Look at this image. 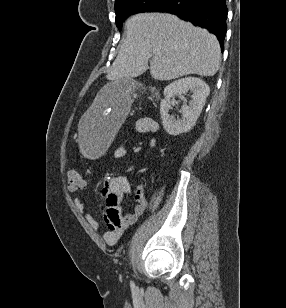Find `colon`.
Here are the masks:
<instances>
[{"label":"colon","mask_w":286,"mask_h":308,"mask_svg":"<svg viewBox=\"0 0 286 308\" xmlns=\"http://www.w3.org/2000/svg\"><path fill=\"white\" fill-rule=\"evenodd\" d=\"M67 183L71 190H81L86 186L83 176L74 169H69L67 171Z\"/></svg>","instance_id":"colon-1"}]
</instances>
